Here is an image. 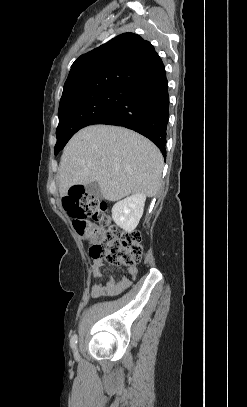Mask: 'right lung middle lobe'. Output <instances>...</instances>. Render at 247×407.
<instances>
[{
	"label": "right lung middle lobe",
	"mask_w": 247,
	"mask_h": 407,
	"mask_svg": "<svg viewBox=\"0 0 247 407\" xmlns=\"http://www.w3.org/2000/svg\"><path fill=\"white\" fill-rule=\"evenodd\" d=\"M134 88L116 86L106 88L59 107L56 129L57 155L69 139L81 128L94 124L126 98Z\"/></svg>",
	"instance_id": "1"
}]
</instances>
